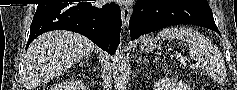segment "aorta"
Instances as JSON below:
<instances>
[{
	"label": "aorta",
	"mask_w": 237,
	"mask_h": 90,
	"mask_svg": "<svg viewBox=\"0 0 237 90\" xmlns=\"http://www.w3.org/2000/svg\"><path fill=\"white\" fill-rule=\"evenodd\" d=\"M112 76L115 90H126L129 78L128 64L122 46L116 48L112 60Z\"/></svg>",
	"instance_id": "obj_1"
}]
</instances>
